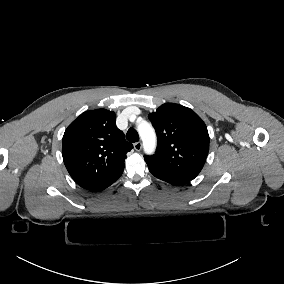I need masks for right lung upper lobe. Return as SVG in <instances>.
I'll use <instances>...</instances> for the list:
<instances>
[{"label": "right lung upper lobe", "instance_id": "obj_1", "mask_svg": "<svg viewBox=\"0 0 284 284\" xmlns=\"http://www.w3.org/2000/svg\"><path fill=\"white\" fill-rule=\"evenodd\" d=\"M113 111H86L65 130L62 156L75 182L84 189L101 191L123 173L126 153L133 148L116 127Z\"/></svg>", "mask_w": 284, "mask_h": 284}]
</instances>
